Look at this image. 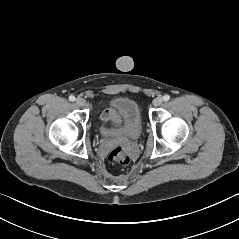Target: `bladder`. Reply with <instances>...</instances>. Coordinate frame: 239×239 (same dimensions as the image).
Masks as SVG:
<instances>
[{"instance_id":"obj_1","label":"bladder","mask_w":239,"mask_h":239,"mask_svg":"<svg viewBox=\"0 0 239 239\" xmlns=\"http://www.w3.org/2000/svg\"><path fill=\"white\" fill-rule=\"evenodd\" d=\"M118 116V124L101 127V134L107 139H137L142 132V118L138 104L126 97H117L110 102Z\"/></svg>"}]
</instances>
